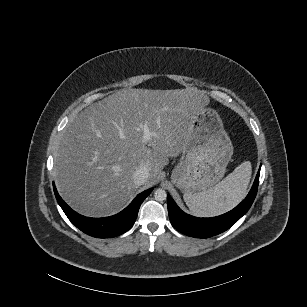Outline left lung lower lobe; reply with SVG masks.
Returning a JSON list of instances; mask_svg holds the SVG:
<instances>
[{
	"label": "left lung lower lobe",
	"instance_id": "left-lung-lower-lobe-1",
	"mask_svg": "<svg viewBox=\"0 0 307 307\" xmlns=\"http://www.w3.org/2000/svg\"><path fill=\"white\" fill-rule=\"evenodd\" d=\"M259 175L260 169L249 194L237 207L228 213L213 218H197L184 213L168 195L167 205L171 224L181 233L197 238H208L226 231L251 207L256 197Z\"/></svg>",
	"mask_w": 307,
	"mask_h": 307
}]
</instances>
